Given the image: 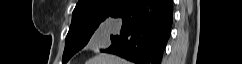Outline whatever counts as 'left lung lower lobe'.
<instances>
[{
    "label": "left lung lower lobe",
    "instance_id": "left-lung-lower-lobe-1",
    "mask_svg": "<svg viewBox=\"0 0 242 64\" xmlns=\"http://www.w3.org/2000/svg\"><path fill=\"white\" fill-rule=\"evenodd\" d=\"M108 18L119 19L122 26L102 52L136 64H161L171 34L173 0H126Z\"/></svg>",
    "mask_w": 242,
    "mask_h": 64
}]
</instances>
